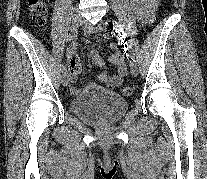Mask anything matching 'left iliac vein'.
I'll list each match as a JSON object with an SVG mask.
<instances>
[{
  "label": "left iliac vein",
  "instance_id": "left-iliac-vein-1",
  "mask_svg": "<svg viewBox=\"0 0 207 179\" xmlns=\"http://www.w3.org/2000/svg\"><path fill=\"white\" fill-rule=\"evenodd\" d=\"M83 27L85 30L89 31V32H95V28L91 27L89 25L88 22H83ZM106 28L108 30H111L112 29V26L109 24V23H105L104 21L101 22L100 26L98 27V31H103V30H106ZM130 71H131V74L133 76H137L138 74V65L136 63V60H135V63L134 64H131L130 65Z\"/></svg>",
  "mask_w": 207,
  "mask_h": 179
}]
</instances>
